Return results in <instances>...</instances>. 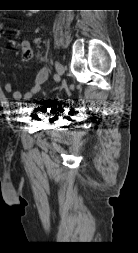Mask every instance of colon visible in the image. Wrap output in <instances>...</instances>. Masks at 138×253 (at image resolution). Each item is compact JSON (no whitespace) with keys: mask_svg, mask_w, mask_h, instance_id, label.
I'll return each instance as SVG.
<instances>
[{"mask_svg":"<svg viewBox=\"0 0 138 253\" xmlns=\"http://www.w3.org/2000/svg\"><path fill=\"white\" fill-rule=\"evenodd\" d=\"M27 57L30 58L32 56V52L31 50H29L27 53H26Z\"/></svg>","mask_w":138,"mask_h":253,"instance_id":"1","label":"colon"}]
</instances>
